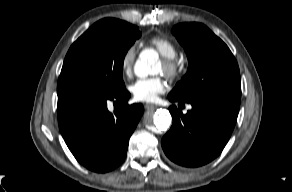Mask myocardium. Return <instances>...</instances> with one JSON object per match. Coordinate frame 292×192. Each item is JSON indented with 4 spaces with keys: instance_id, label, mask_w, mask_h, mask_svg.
<instances>
[{
    "instance_id": "myocardium-1",
    "label": "myocardium",
    "mask_w": 292,
    "mask_h": 192,
    "mask_svg": "<svg viewBox=\"0 0 292 192\" xmlns=\"http://www.w3.org/2000/svg\"><path fill=\"white\" fill-rule=\"evenodd\" d=\"M163 72L169 78H176L181 71V65L179 61L174 59H163Z\"/></svg>"
}]
</instances>
